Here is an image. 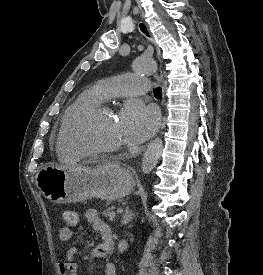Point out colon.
Returning <instances> with one entry per match:
<instances>
[{"label": "colon", "instance_id": "obj_1", "mask_svg": "<svg viewBox=\"0 0 263 275\" xmlns=\"http://www.w3.org/2000/svg\"><path fill=\"white\" fill-rule=\"evenodd\" d=\"M63 220L69 226H76L79 221L78 214L74 210H66L63 212Z\"/></svg>", "mask_w": 263, "mask_h": 275}]
</instances>
